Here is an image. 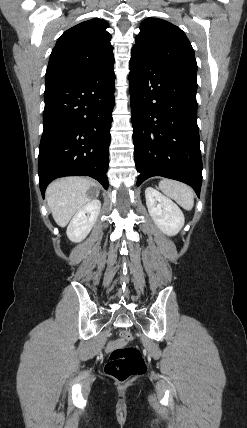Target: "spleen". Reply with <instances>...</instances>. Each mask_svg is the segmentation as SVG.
Masks as SVG:
<instances>
[{"mask_svg": "<svg viewBox=\"0 0 247 428\" xmlns=\"http://www.w3.org/2000/svg\"><path fill=\"white\" fill-rule=\"evenodd\" d=\"M159 188L185 210L189 211L193 208L194 191L190 186L176 180L163 179L159 182Z\"/></svg>", "mask_w": 247, "mask_h": 428, "instance_id": "obj_1", "label": "spleen"}]
</instances>
